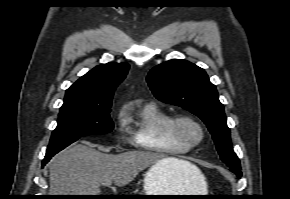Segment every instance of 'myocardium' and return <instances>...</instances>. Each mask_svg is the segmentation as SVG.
<instances>
[{
  "label": "myocardium",
  "instance_id": "myocardium-1",
  "mask_svg": "<svg viewBox=\"0 0 290 199\" xmlns=\"http://www.w3.org/2000/svg\"><path fill=\"white\" fill-rule=\"evenodd\" d=\"M186 126H192L197 129L198 135L191 137L183 130ZM167 133L176 142L185 145L188 148L198 146L205 138V128L196 118L188 115L173 117L168 124Z\"/></svg>",
  "mask_w": 290,
  "mask_h": 199
}]
</instances>
